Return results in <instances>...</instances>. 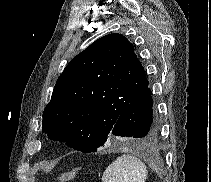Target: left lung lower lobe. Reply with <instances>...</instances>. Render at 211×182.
Returning <instances> with one entry per match:
<instances>
[{"mask_svg":"<svg viewBox=\"0 0 211 182\" xmlns=\"http://www.w3.org/2000/svg\"><path fill=\"white\" fill-rule=\"evenodd\" d=\"M160 122L153 106L149 82L128 103L111 130V135L149 141L159 131Z\"/></svg>","mask_w":211,"mask_h":182,"instance_id":"1","label":"left lung lower lobe"}]
</instances>
